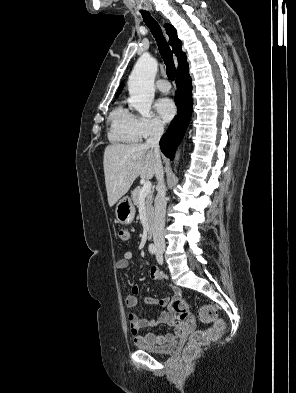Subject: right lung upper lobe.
Segmentation results:
<instances>
[{"label":"right lung upper lobe","instance_id":"cb5924a9","mask_svg":"<svg viewBox=\"0 0 296 393\" xmlns=\"http://www.w3.org/2000/svg\"><path fill=\"white\" fill-rule=\"evenodd\" d=\"M164 27H165V29H166L167 34L169 35V38H170V45H171L172 48H173V52H174V54H175V55L177 56V58H178V62H179V64H178V70H179V69H181L184 65L187 64L186 55H185V53H183L182 48H181V47H182V43H181V41L178 39V37H177V31L175 30V28H174L172 25H170V24H165ZM122 88H123V83L120 85V87H119V89H118V91H117L116 97L119 95V93L121 92Z\"/></svg>","mask_w":296,"mask_h":393}]
</instances>
